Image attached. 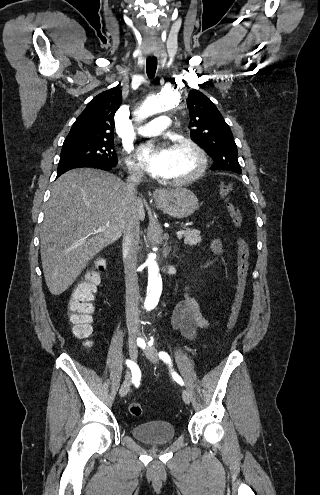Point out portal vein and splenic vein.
Masks as SVG:
<instances>
[{
    "label": "portal vein and splenic vein",
    "instance_id": "18ae733b",
    "mask_svg": "<svg viewBox=\"0 0 320 495\" xmlns=\"http://www.w3.org/2000/svg\"><path fill=\"white\" fill-rule=\"evenodd\" d=\"M176 234H177V236L180 237V236H182L184 234V231H178Z\"/></svg>",
    "mask_w": 320,
    "mask_h": 495
}]
</instances>
